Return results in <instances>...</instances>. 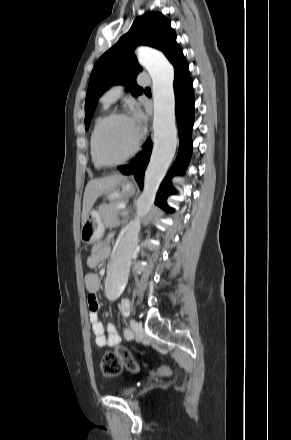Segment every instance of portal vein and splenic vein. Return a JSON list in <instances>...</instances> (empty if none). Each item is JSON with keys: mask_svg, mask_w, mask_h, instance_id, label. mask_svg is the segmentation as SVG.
<instances>
[{"mask_svg": "<svg viewBox=\"0 0 291 440\" xmlns=\"http://www.w3.org/2000/svg\"><path fill=\"white\" fill-rule=\"evenodd\" d=\"M125 207H126V206L123 205V204L118 205V208H119V209H125Z\"/></svg>", "mask_w": 291, "mask_h": 440, "instance_id": "obj_1", "label": "portal vein and splenic vein"}]
</instances>
